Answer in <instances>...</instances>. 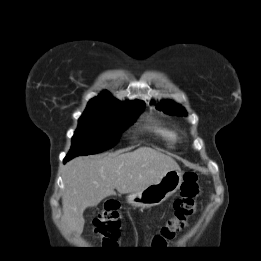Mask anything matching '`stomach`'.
<instances>
[{
    "label": "stomach",
    "instance_id": "stomach-1",
    "mask_svg": "<svg viewBox=\"0 0 261 261\" xmlns=\"http://www.w3.org/2000/svg\"><path fill=\"white\" fill-rule=\"evenodd\" d=\"M182 184V172L180 169L168 171L163 178L150 184L140 192L127 196V202L134 207L149 208L164 202L175 193Z\"/></svg>",
    "mask_w": 261,
    "mask_h": 261
}]
</instances>
